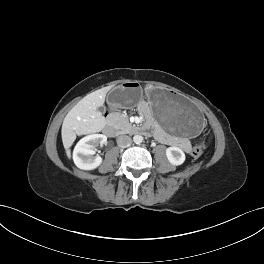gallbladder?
Returning <instances> with one entry per match:
<instances>
[{
	"label": "gallbladder",
	"instance_id": "bac80fb5",
	"mask_svg": "<svg viewBox=\"0 0 264 264\" xmlns=\"http://www.w3.org/2000/svg\"><path fill=\"white\" fill-rule=\"evenodd\" d=\"M98 110L101 111V112H104L105 111V107L104 106H99Z\"/></svg>",
	"mask_w": 264,
	"mask_h": 264
}]
</instances>
